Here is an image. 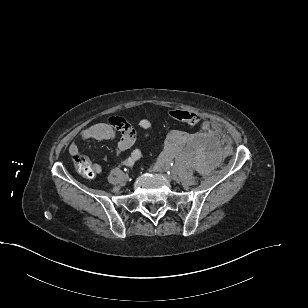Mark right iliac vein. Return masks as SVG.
I'll list each match as a JSON object with an SVG mask.
<instances>
[{
  "label": "right iliac vein",
  "instance_id": "right-iliac-vein-1",
  "mask_svg": "<svg viewBox=\"0 0 308 308\" xmlns=\"http://www.w3.org/2000/svg\"><path fill=\"white\" fill-rule=\"evenodd\" d=\"M125 178L127 179V178H128V176L126 175V176H125Z\"/></svg>",
  "mask_w": 308,
  "mask_h": 308
}]
</instances>
